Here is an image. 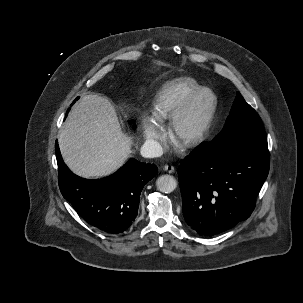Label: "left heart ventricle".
<instances>
[{"mask_svg": "<svg viewBox=\"0 0 303 303\" xmlns=\"http://www.w3.org/2000/svg\"><path fill=\"white\" fill-rule=\"evenodd\" d=\"M211 103V97L209 94L202 95L196 102L193 110L184 120L182 125V132L184 134L192 133L203 120Z\"/></svg>", "mask_w": 303, "mask_h": 303, "instance_id": "b2bd125f", "label": "left heart ventricle"}]
</instances>
